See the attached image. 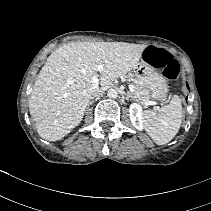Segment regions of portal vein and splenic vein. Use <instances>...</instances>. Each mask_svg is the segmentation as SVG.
<instances>
[{
  "label": "portal vein and splenic vein",
  "instance_id": "1",
  "mask_svg": "<svg viewBox=\"0 0 211 211\" xmlns=\"http://www.w3.org/2000/svg\"><path fill=\"white\" fill-rule=\"evenodd\" d=\"M102 70H103V65H101V64L98 65V71L101 72ZM91 82H92V84L94 86H97L99 84L98 74H95V75L92 76ZM128 88H129V90H130L131 93L134 92V86L132 84H129L128 85ZM146 104L147 105H153V104H155V102H153V101H147Z\"/></svg>",
  "mask_w": 211,
  "mask_h": 211
}]
</instances>
